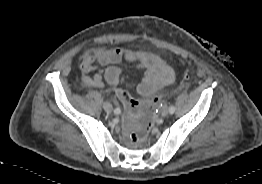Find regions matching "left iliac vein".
I'll return each instance as SVG.
<instances>
[{
    "label": "left iliac vein",
    "instance_id": "1",
    "mask_svg": "<svg viewBox=\"0 0 262 184\" xmlns=\"http://www.w3.org/2000/svg\"><path fill=\"white\" fill-rule=\"evenodd\" d=\"M168 113H169V110H168L167 107H163L162 110L160 111V115H161L162 117L167 116Z\"/></svg>",
    "mask_w": 262,
    "mask_h": 184
}]
</instances>
